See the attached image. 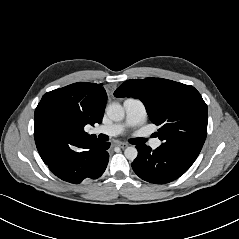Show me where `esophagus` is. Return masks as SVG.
Returning <instances> with one entry per match:
<instances>
[{"label":"esophagus","instance_id":"1","mask_svg":"<svg viewBox=\"0 0 239 239\" xmlns=\"http://www.w3.org/2000/svg\"><path fill=\"white\" fill-rule=\"evenodd\" d=\"M117 146L122 148V149H124V148H126L128 146V144H126L124 142H119V143H117Z\"/></svg>","mask_w":239,"mask_h":239}]
</instances>
